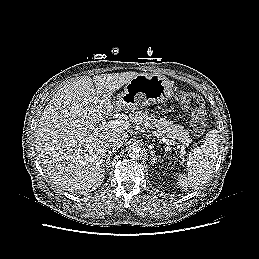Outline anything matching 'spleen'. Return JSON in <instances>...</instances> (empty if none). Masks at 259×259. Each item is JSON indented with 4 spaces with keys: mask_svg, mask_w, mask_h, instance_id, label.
Listing matches in <instances>:
<instances>
[{
    "mask_svg": "<svg viewBox=\"0 0 259 259\" xmlns=\"http://www.w3.org/2000/svg\"><path fill=\"white\" fill-rule=\"evenodd\" d=\"M220 137L218 130L206 134L201 147L192 149L187 162V176L179 174L177 181L183 190L199 189L211 178L219 155Z\"/></svg>",
    "mask_w": 259,
    "mask_h": 259,
    "instance_id": "1",
    "label": "spleen"
}]
</instances>
